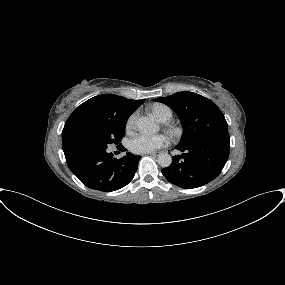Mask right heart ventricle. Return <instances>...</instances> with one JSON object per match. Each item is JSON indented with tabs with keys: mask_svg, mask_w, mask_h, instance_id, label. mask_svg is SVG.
<instances>
[{
	"mask_svg": "<svg viewBox=\"0 0 285 285\" xmlns=\"http://www.w3.org/2000/svg\"><path fill=\"white\" fill-rule=\"evenodd\" d=\"M150 111L160 121H168L173 116L172 109L164 104H154L150 107Z\"/></svg>",
	"mask_w": 285,
	"mask_h": 285,
	"instance_id": "e07e8e85",
	"label": "right heart ventricle"
}]
</instances>
